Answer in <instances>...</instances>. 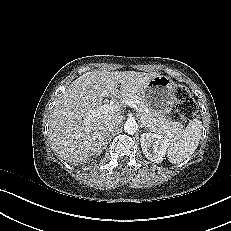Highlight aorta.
I'll use <instances>...</instances> for the list:
<instances>
[{
	"instance_id": "aorta-1",
	"label": "aorta",
	"mask_w": 231,
	"mask_h": 231,
	"mask_svg": "<svg viewBox=\"0 0 231 231\" xmlns=\"http://www.w3.org/2000/svg\"><path fill=\"white\" fill-rule=\"evenodd\" d=\"M138 130V124L136 123L135 120L128 119L125 124H124V131L127 134H134Z\"/></svg>"
}]
</instances>
